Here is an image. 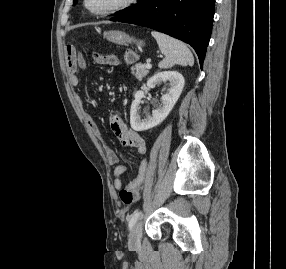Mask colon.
<instances>
[{
  "mask_svg": "<svg viewBox=\"0 0 286 269\" xmlns=\"http://www.w3.org/2000/svg\"><path fill=\"white\" fill-rule=\"evenodd\" d=\"M124 65L132 66L133 62H137V59H140L139 49H124ZM121 198L124 202H129L131 195L126 191L120 193Z\"/></svg>",
  "mask_w": 286,
  "mask_h": 269,
  "instance_id": "1",
  "label": "colon"
}]
</instances>
